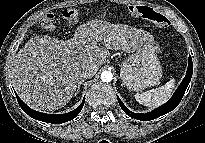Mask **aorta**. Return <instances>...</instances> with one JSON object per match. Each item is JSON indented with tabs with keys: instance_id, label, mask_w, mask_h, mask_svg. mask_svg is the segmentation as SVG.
<instances>
[{
	"instance_id": "aorta-1",
	"label": "aorta",
	"mask_w": 205,
	"mask_h": 143,
	"mask_svg": "<svg viewBox=\"0 0 205 143\" xmlns=\"http://www.w3.org/2000/svg\"><path fill=\"white\" fill-rule=\"evenodd\" d=\"M113 79V74L110 71H103L101 73V80L103 82H110Z\"/></svg>"
}]
</instances>
